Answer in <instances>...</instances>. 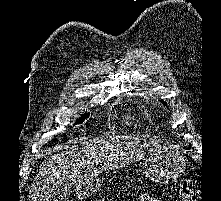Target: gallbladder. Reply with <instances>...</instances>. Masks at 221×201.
I'll return each mask as SVG.
<instances>
[{"label":"gallbladder","instance_id":"gallbladder-1","mask_svg":"<svg viewBox=\"0 0 221 201\" xmlns=\"http://www.w3.org/2000/svg\"><path fill=\"white\" fill-rule=\"evenodd\" d=\"M72 194V187L70 185H59L54 189L51 199L52 201H66Z\"/></svg>","mask_w":221,"mask_h":201}]
</instances>
